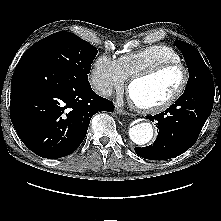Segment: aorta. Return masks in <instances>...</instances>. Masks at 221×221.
<instances>
[{"mask_svg": "<svg viewBox=\"0 0 221 221\" xmlns=\"http://www.w3.org/2000/svg\"><path fill=\"white\" fill-rule=\"evenodd\" d=\"M153 133V127L148 122L138 123L129 129L130 139L138 145L147 144L152 139Z\"/></svg>", "mask_w": 221, "mask_h": 221, "instance_id": "aorta-1", "label": "aorta"}]
</instances>
